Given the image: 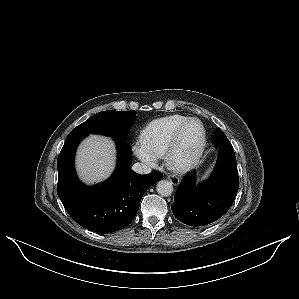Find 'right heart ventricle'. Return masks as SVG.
Segmentation results:
<instances>
[{
  "mask_svg": "<svg viewBox=\"0 0 299 299\" xmlns=\"http://www.w3.org/2000/svg\"><path fill=\"white\" fill-rule=\"evenodd\" d=\"M188 117L174 114L150 122L142 132V142L158 158L163 157L177 128Z\"/></svg>",
  "mask_w": 299,
  "mask_h": 299,
  "instance_id": "right-heart-ventricle-1",
  "label": "right heart ventricle"
}]
</instances>
